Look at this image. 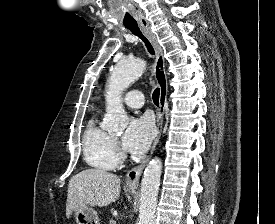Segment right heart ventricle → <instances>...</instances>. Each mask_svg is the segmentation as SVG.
<instances>
[{
    "mask_svg": "<svg viewBox=\"0 0 275 224\" xmlns=\"http://www.w3.org/2000/svg\"><path fill=\"white\" fill-rule=\"evenodd\" d=\"M83 154L86 163L98 170H113L119 164L113 138L100 126L97 113L92 115L85 128Z\"/></svg>",
    "mask_w": 275,
    "mask_h": 224,
    "instance_id": "1",
    "label": "right heart ventricle"
}]
</instances>
